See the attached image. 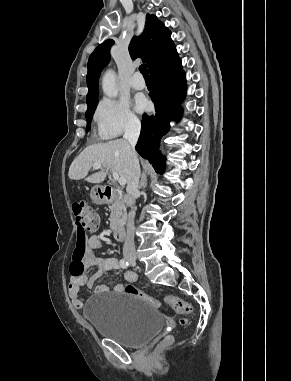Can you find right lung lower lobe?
<instances>
[{
	"instance_id": "98d812e1",
	"label": "right lung lower lobe",
	"mask_w": 291,
	"mask_h": 381,
	"mask_svg": "<svg viewBox=\"0 0 291 381\" xmlns=\"http://www.w3.org/2000/svg\"><path fill=\"white\" fill-rule=\"evenodd\" d=\"M155 115H143L142 130L136 145L137 152L153 164L157 173H163L165 163L159 153L161 137L168 132L169 123L181 117L179 103L186 92V79L182 64L175 51L150 70Z\"/></svg>"
}]
</instances>
